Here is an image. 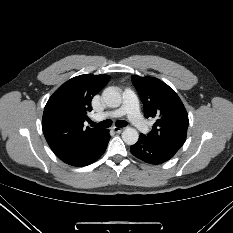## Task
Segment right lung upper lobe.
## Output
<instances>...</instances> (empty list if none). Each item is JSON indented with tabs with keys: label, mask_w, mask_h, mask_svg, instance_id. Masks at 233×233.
<instances>
[{
	"label": "right lung upper lobe",
	"mask_w": 233,
	"mask_h": 233,
	"mask_svg": "<svg viewBox=\"0 0 233 233\" xmlns=\"http://www.w3.org/2000/svg\"><path fill=\"white\" fill-rule=\"evenodd\" d=\"M108 75L84 74L59 87L49 98L42 129L52 151L62 161L83 151L105 129L84 128L92 98L108 83Z\"/></svg>",
	"instance_id": "obj_1"
}]
</instances>
